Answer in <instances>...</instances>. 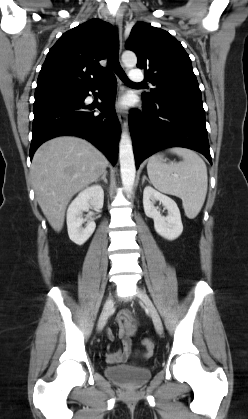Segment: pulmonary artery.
<instances>
[{
	"label": "pulmonary artery",
	"mask_w": 248,
	"mask_h": 419,
	"mask_svg": "<svg viewBox=\"0 0 248 419\" xmlns=\"http://www.w3.org/2000/svg\"><path fill=\"white\" fill-rule=\"evenodd\" d=\"M130 80L135 83H141L144 80V75L138 68L130 70Z\"/></svg>",
	"instance_id": "1"
}]
</instances>
